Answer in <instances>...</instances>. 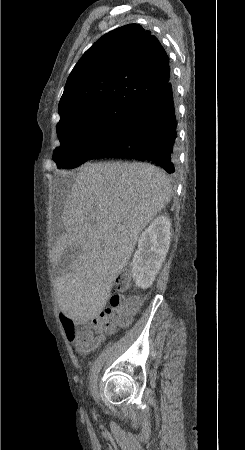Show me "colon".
Listing matches in <instances>:
<instances>
[{
	"label": "colon",
	"instance_id": "1",
	"mask_svg": "<svg viewBox=\"0 0 245 450\" xmlns=\"http://www.w3.org/2000/svg\"><path fill=\"white\" fill-rule=\"evenodd\" d=\"M130 282L131 275L128 273L117 277L115 288L118 294L110 298L109 306L101 310L94 319L77 321L69 316H64L61 319V325L65 335L68 338L76 337L79 341L87 342L93 336V329L112 332L117 327H126L139 309L138 297L125 299L120 294L129 288Z\"/></svg>",
	"mask_w": 245,
	"mask_h": 450
}]
</instances>
